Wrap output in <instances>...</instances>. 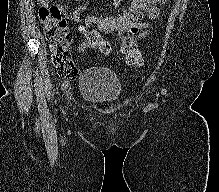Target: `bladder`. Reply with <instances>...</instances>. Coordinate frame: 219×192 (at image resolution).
I'll use <instances>...</instances> for the list:
<instances>
[{
	"label": "bladder",
	"mask_w": 219,
	"mask_h": 192,
	"mask_svg": "<svg viewBox=\"0 0 219 192\" xmlns=\"http://www.w3.org/2000/svg\"><path fill=\"white\" fill-rule=\"evenodd\" d=\"M122 93V84L110 69L92 66L82 71L80 76L81 97L94 104H114Z\"/></svg>",
	"instance_id": "obj_1"
}]
</instances>
